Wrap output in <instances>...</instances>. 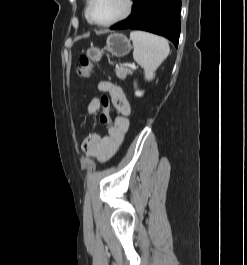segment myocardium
<instances>
[{
    "label": "myocardium",
    "mask_w": 247,
    "mask_h": 265,
    "mask_svg": "<svg viewBox=\"0 0 247 265\" xmlns=\"http://www.w3.org/2000/svg\"><path fill=\"white\" fill-rule=\"evenodd\" d=\"M94 1L95 0H89L88 5H87V9H86V16H87V19L89 20V22L91 24L98 26V27L106 28V27L114 26V25L126 20L132 14L133 9H134V0H124V4H125L124 9L118 16H116L115 18H113L110 21L100 23V22L95 21L92 17V14H91V10H92V6H93Z\"/></svg>",
    "instance_id": "f54148a6"
}]
</instances>
